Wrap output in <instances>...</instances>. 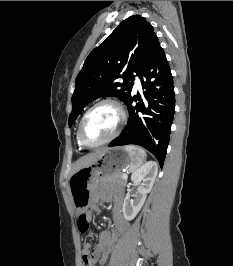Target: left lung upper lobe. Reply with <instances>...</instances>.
<instances>
[{"label":"left lung upper lobe","mask_w":233,"mask_h":266,"mask_svg":"<svg viewBox=\"0 0 233 266\" xmlns=\"http://www.w3.org/2000/svg\"><path fill=\"white\" fill-rule=\"evenodd\" d=\"M159 45L153 27L140 15L125 19L108 38L93 49L76 78L72 96L71 127L82 109L102 96H115L126 103L131 97L135 72L139 75ZM119 78L123 82H119Z\"/></svg>","instance_id":"5c2ea615"}]
</instances>
